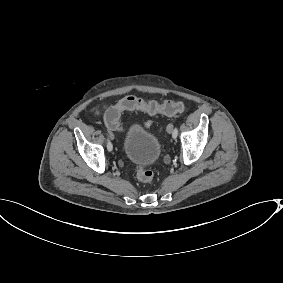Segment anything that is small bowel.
<instances>
[{"label": "small bowel", "instance_id": "small-bowel-1", "mask_svg": "<svg viewBox=\"0 0 283 283\" xmlns=\"http://www.w3.org/2000/svg\"><path fill=\"white\" fill-rule=\"evenodd\" d=\"M93 112H94L95 114H98V113H99V109H98V108H95V109L93 110Z\"/></svg>", "mask_w": 283, "mask_h": 283}]
</instances>
